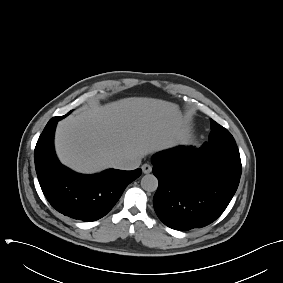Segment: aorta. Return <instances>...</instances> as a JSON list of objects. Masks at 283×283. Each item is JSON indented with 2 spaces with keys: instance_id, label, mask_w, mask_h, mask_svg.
Masks as SVG:
<instances>
[{
  "instance_id": "762f6f07",
  "label": "aorta",
  "mask_w": 283,
  "mask_h": 283,
  "mask_svg": "<svg viewBox=\"0 0 283 283\" xmlns=\"http://www.w3.org/2000/svg\"><path fill=\"white\" fill-rule=\"evenodd\" d=\"M141 187L145 191L154 192L158 187V179L152 174H147L141 179Z\"/></svg>"
}]
</instances>
